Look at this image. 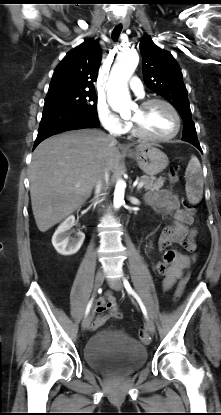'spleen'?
<instances>
[{"mask_svg":"<svg viewBox=\"0 0 221 415\" xmlns=\"http://www.w3.org/2000/svg\"><path fill=\"white\" fill-rule=\"evenodd\" d=\"M186 194L190 203L197 204L203 196L204 180L199 160L192 156L185 172Z\"/></svg>","mask_w":221,"mask_h":415,"instance_id":"1","label":"spleen"}]
</instances>
